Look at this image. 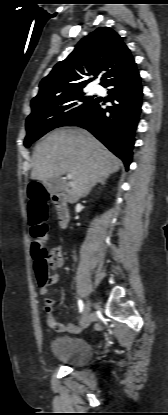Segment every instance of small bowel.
<instances>
[{
    "label": "small bowel",
    "mask_w": 168,
    "mask_h": 415,
    "mask_svg": "<svg viewBox=\"0 0 168 415\" xmlns=\"http://www.w3.org/2000/svg\"><path fill=\"white\" fill-rule=\"evenodd\" d=\"M51 255H52V260L54 261L56 265L62 266L64 264L63 253H62V249L60 246L53 247L51 250ZM50 278H51V281L55 282L58 280V275L56 273H53ZM39 292L43 297H45L43 310H44V313L46 314L47 325L59 331L75 329L76 326L71 325V324L66 325V324L60 323L53 316L52 307H53L54 302L52 299L46 297V295L48 294L47 287L40 286Z\"/></svg>",
    "instance_id": "1"
}]
</instances>
